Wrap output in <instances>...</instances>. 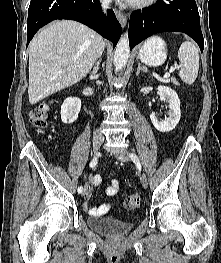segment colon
Listing matches in <instances>:
<instances>
[{
  "instance_id": "1",
  "label": "colon",
  "mask_w": 221,
  "mask_h": 263,
  "mask_svg": "<svg viewBox=\"0 0 221 263\" xmlns=\"http://www.w3.org/2000/svg\"><path fill=\"white\" fill-rule=\"evenodd\" d=\"M48 104H41L30 113L31 123L37 128H45L48 121ZM140 204V197L137 194L127 196L123 201L125 210H134Z\"/></svg>"
}]
</instances>
